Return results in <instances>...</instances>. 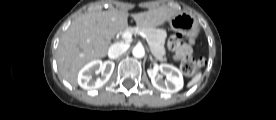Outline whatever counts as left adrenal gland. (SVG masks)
<instances>
[{"label": "left adrenal gland", "instance_id": "left-adrenal-gland-1", "mask_svg": "<svg viewBox=\"0 0 276 120\" xmlns=\"http://www.w3.org/2000/svg\"><path fill=\"white\" fill-rule=\"evenodd\" d=\"M149 59H150L151 61H154V60H153V57H152L151 55H149Z\"/></svg>", "mask_w": 276, "mask_h": 120}]
</instances>
